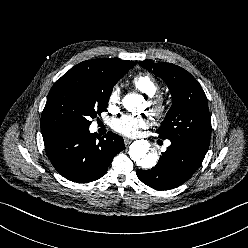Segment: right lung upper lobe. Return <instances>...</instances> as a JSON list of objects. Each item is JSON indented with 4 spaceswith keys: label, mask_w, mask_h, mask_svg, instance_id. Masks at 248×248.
I'll return each instance as SVG.
<instances>
[{
    "label": "right lung upper lobe",
    "mask_w": 248,
    "mask_h": 248,
    "mask_svg": "<svg viewBox=\"0 0 248 248\" xmlns=\"http://www.w3.org/2000/svg\"><path fill=\"white\" fill-rule=\"evenodd\" d=\"M135 62L117 59H94L84 61L74 66L64 75L97 73L111 78H121L124 74L135 66Z\"/></svg>",
    "instance_id": "right-lung-upper-lobe-1"
}]
</instances>
